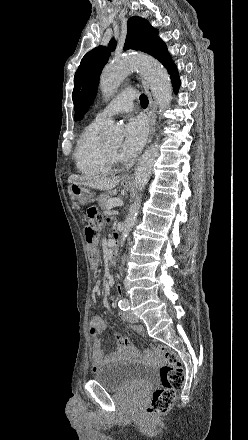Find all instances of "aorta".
Segmentation results:
<instances>
[{
    "label": "aorta",
    "instance_id": "obj_1",
    "mask_svg": "<svg viewBox=\"0 0 248 440\" xmlns=\"http://www.w3.org/2000/svg\"><path fill=\"white\" fill-rule=\"evenodd\" d=\"M133 71H139L149 82L160 110H166L172 100V86L167 71L158 61L151 57L126 56L113 60L112 63L105 67L100 77L99 87L102 95L105 98L113 96L123 80ZM103 136L108 141H120L123 138V132L119 126L109 123ZM157 157V143L151 145L140 157L135 170V180L139 191H142L148 183ZM139 209L140 197H136L124 220L120 239L121 246L124 245L137 221Z\"/></svg>",
    "mask_w": 248,
    "mask_h": 440
}]
</instances>
